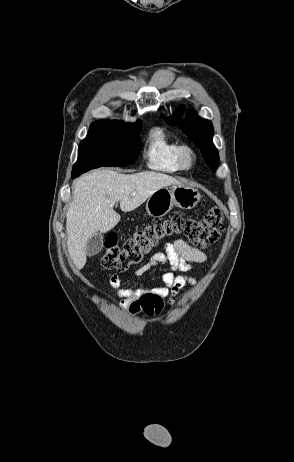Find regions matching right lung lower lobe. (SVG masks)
<instances>
[{
	"mask_svg": "<svg viewBox=\"0 0 294 462\" xmlns=\"http://www.w3.org/2000/svg\"><path fill=\"white\" fill-rule=\"evenodd\" d=\"M114 165L115 163H114V160L111 158V156L103 154L98 158V160L95 162V165H93V167L98 168L101 166H114ZM78 176L79 175H75V176H72V178H76Z\"/></svg>",
	"mask_w": 294,
	"mask_h": 462,
	"instance_id": "obj_1",
	"label": "right lung lower lobe"
}]
</instances>
